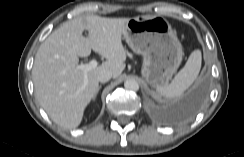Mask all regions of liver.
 I'll return each mask as SVG.
<instances>
[{
	"label": "liver",
	"mask_w": 244,
	"mask_h": 157,
	"mask_svg": "<svg viewBox=\"0 0 244 157\" xmlns=\"http://www.w3.org/2000/svg\"><path fill=\"white\" fill-rule=\"evenodd\" d=\"M128 21L97 15L75 18L40 45L32 69L35 95L56 124L66 129L78 127L99 88V73L108 70L114 78L121 75L127 57L122 34ZM84 30L88 38L83 36ZM91 49L106 61L88 72L79 70V57L89 56Z\"/></svg>",
	"instance_id": "liver-1"
}]
</instances>
